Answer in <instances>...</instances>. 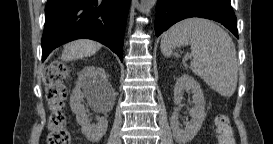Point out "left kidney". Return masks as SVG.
<instances>
[{
    "instance_id": "1",
    "label": "left kidney",
    "mask_w": 273,
    "mask_h": 144,
    "mask_svg": "<svg viewBox=\"0 0 273 144\" xmlns=\"http://www.w3.org/2000/svg\"><path fill=\"white\" fill-rule=\"evenodd\" d=\"M184 91H191L193 93V102L195 106L190 110L191 121L186 123L185 129L179 127L178 108H174V112L170 119V125L173 136L179 144H186L188 141L192 140L200 130L206 117L205 99L201 86L188 74L181 75L174 86V103L176 105L181 103Z\"/></svg>"
}]
</instances>
